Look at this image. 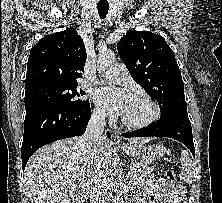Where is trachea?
<instances>
[{"label": "trachea", "mask_w": 222, "mask_h": 203, "mask_svg": "<svg viewBox=\"0 0 222 203\" xmlns=\"http://www.w3.org/2000/svg\"><path fill=\"white\" fill-rule=\"evenodd\" d=\"M98 14L101 19H104L108 13L109 4L107 5H97Z\"/></svg>", "instance_id": "1"}]
</instances>
